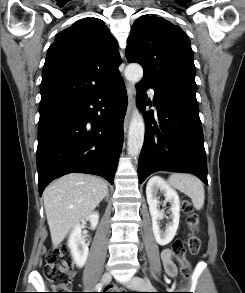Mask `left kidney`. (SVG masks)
Returning <instances> with one entry per match:
<instances>
[{
    "instance_id": "1",
    "label": "left kidney",
    "mask_w": 245,
    "mask_h": 293,
    "mask_svg": "<svg viewBox=\"0 0 245 293\" xmlns=\"http://www.w3.org/2000/svg\"><path fill=\"white\" fill-rule=\"evenodd\" d=\"M163 192L166 201L171 204V218L165 230L160 229L159 220L163 219L164 215L157 208L158 206V191ZM146 197L149 205V211L152 219V230L154 237L159 245H167L170 243L179 225L180 218V199L177 192L171 188L162 178L158 176L152 177L146 186Z\"/></svg>"
}]
</instances>
